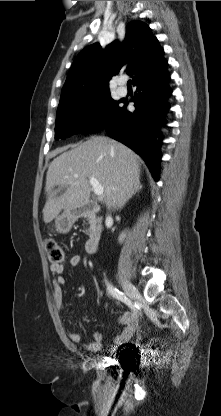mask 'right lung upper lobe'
<instances>
[{
	"label": "right lung upper lobe",
	"instance_id": "cb5924a9",
	"mask_svg": "<svg viewBox=\"0 0 221 416\" xmlns=\"http://www.w3.org/2000/svg\"><path fill=\"white\" fill-rule=\"evenodd\" d=\"M163 52L150 28L140 21H132L126 27L123 43L112 42L104 51L95 43L79 53L63 86L60 103L109 92L104 73L111 77L124 70L133 75L134 85L143 77L167 67Z\"/></svg>",
	"mask_w": 221,
	"mask_h": 416
}]
</instances>
